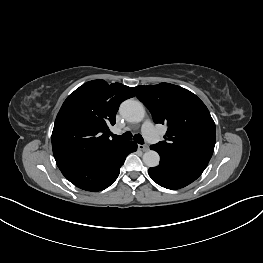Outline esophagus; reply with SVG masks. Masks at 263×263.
<instances>
[{
  "label": "esophagus",
  "mask_w": 263,
  "mask_h": 263,
  "mask_svg": "<svg viewBox=\"0 0 263 263\" xmlns=\"http://www.w3.org/2000/svg\"><path fill=\"white\" fill-rule=\"evenodd\" d=\"M138 150H141L143 152H146L149 150L148 146L143 145V144H138Z\"/></svg>",
  "instance_id": "1"
}]
</instances>
